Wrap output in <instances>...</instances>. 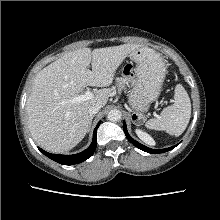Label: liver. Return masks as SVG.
Listing matches in <instances>:
<instances>
[{
	"mask_svg": "<svg viewBox=\"0 0 220 220\" xmlns=\"http://www.w3.org/2000/svg\"><path fill=\"white\" fill-rule=\"evenodd\" d=\"M138 44L94 49L81 48L64 54L43 68L34 78L26 102L28 127L32 138L46 151L67 152L86 135L95 104L102 107L111 94L116 70ZM92 70H89V65ZM87 86L103 87L92 99L72 102Z\"/></svg>",
	"mask_w": 220,
	"mask_h": 220,
	"instance_id": "obj_1",
	"label": "liver"
}]
</instances>
